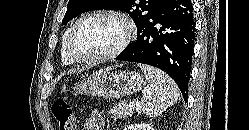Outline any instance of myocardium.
<instances>
[{"label":"myocardium","mask_w":249,"mask_h":130,"mask_svg":"<svg viewBox=\"0 0 249 130\" xmlns=\"http://www.w3.org/2000/svg\"><path fill=\"white\" fill-rule=\"evenodd\" d=\"M93 17H107V18H114L120 20L125 26L126 29L125 35L122 41L113 50L107 53H103L92 57H79L75 55L72 51L71 45L73 37L79 25L85 20ZM135 36H136V27L128 15L114 10H95L84 14L73 24L66 39L65 52L68 58L72 62L83 63V64L102 62L119 56L129 46V44L133 41Z\"/></svg>","instance_id":"1"}]
</instances>
